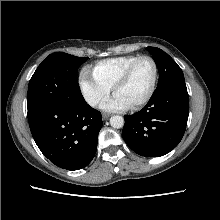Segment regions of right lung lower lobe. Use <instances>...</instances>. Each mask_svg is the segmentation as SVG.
I'll return each mask as SVG.
<instances>
[{
	"label": "right lung lower lobe",
	"mask_w": 220,
	"mask_h": 220,
	"mask_svg": "<svg viewBox=\"0 0 220 220\" xmlns=\"http://www.w3.org/2000/svg\"><path fill=\"white\" fill-rule=\"evenodd\" d=\"M28 121L37 146L56 166L78 170L93 159L103 122L101 113L86 102L46 104L28 110Z\"/></svg>",
	"instance_id": "98d812e1"
}]
</instances>
